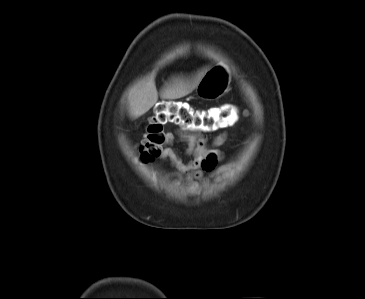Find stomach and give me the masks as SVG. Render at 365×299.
<instances>
[{"label": "stomach", "mask_w": 365, "mask_h": 299, "mask_svg": "<svg viewBox=\"0 0 365 299\" xmlns=\"http://www.w3.org/2000/svg\"><path fill=\"white\" fill-rule=\"evenodd\" d=\"M230 72L224 65H217L206 71L196 87V95L204 100L222 96L229 90Z\"/></svg>", "instance_id": "stomach-1"}]
</instances>
